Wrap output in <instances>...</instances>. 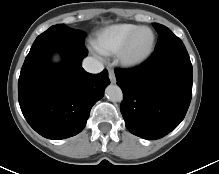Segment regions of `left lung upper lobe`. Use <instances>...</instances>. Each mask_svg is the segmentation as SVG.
I'll return each instance as SVG.
<instances>
[{
  "mask_svg": "<svg viewBox=\"0 0 219 174\" xmlns=\"http://www.w3.org/2000/svg\"><path fill=\"white\" fill-rule=\"evenodd\" d=\"M153 26L158 33V41L154 51H159L169 47L185 48L183 42L175 36L169 28L157 23H154Z\"/></svg>",
  "mask_w": 219,
  "mask_h": 174,
  "instance_id": "left-lung-upper-lobe-1",
  "label": "left lung upper lobe"
}]
</instances>
